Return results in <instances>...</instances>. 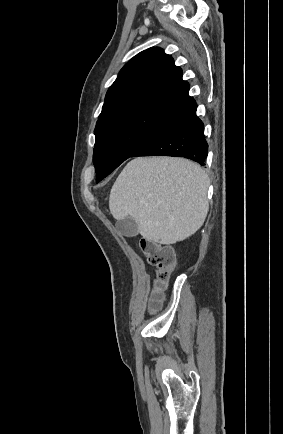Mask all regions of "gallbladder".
<instances>
[{
    "label": "gallbladder",
    "mask_w": 283,
    "mask_h": 434,
    "mask_svg": "<svg viewBox=\"0 0 283 434\" xmlns=\"http://www.w3.org/2000/svg\"><path fill=\"white\" fill-rule=\"evenodd\" d=\"M116 226L126 237H134L139 233L138 225L131 217H126L123 220L117 221Z\"/></svg>",
    "instance_id": "gallbladder-1"
}]
</instances>
